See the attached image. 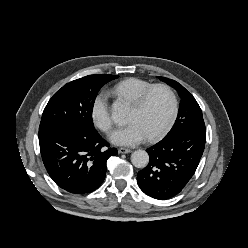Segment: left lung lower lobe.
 I'll return each instance as SVG.
<instances>
[{
	"instance_id": "0a47b994",
	"label": "left lung lower lobe",
	"mask_w": 248,
	"mask_h": 248,
	"mask_svg": "<svg viewBox=\"0 0 248 248\" xmlns=\"http://www.w3.org/2000/svg\"><path fill=\"white\" fill-rule=\"evenodd\" d=\"M205 141L206 133L181 131L148 148L150 161L137 175L140 189L160 200L177 195L194 175Z\"/></svg>"
}]
</instances>
